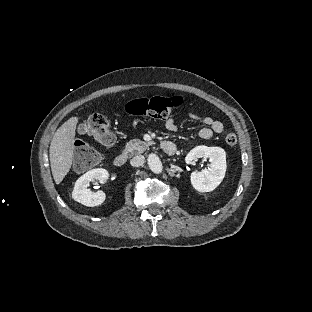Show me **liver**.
Returning a JSON list of instances; mask_svg holds the SVG:
<instances>
[{"mask_svg":"<svg viewBox=\"0 0 312 312\" xmlns=\"http://www.w3.org/2000/svg\"><path fill=\"white\" fill-rule=\"evenodd\" d=\"M77 117H71L55 132L49 149L51 171L56 184H60L72 165Z\"/></svg>","mask_w":312,"mask_h":312,"instance_id":"obj_1","label":"liver"}]
</instances>
